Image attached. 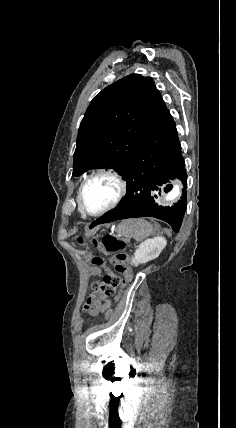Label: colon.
<instances>
[{
	"instance_id": "5ec220e1",
	"label": "colon",
	"mask_w": 236,
	"mask_h": 428,
	"mask_svg": "<svg viewBox=\"0 0 236 428\" xmlns=\"http://www.w3.org/2000/svg\"><path fill=\"white\" fill-rule=\"evenodd\" d=\"M78 241L80 244L85 242L83 238H79ZM92 245L105 254H115L111 258V264L114 266V270L106 267L104 258L99 256H93L91 258L92 264L101 266L105 269L103 277L93 282L92 288L94 293L86 305V310L91 314H95L101 309L99 297L114 295L118 287H123L131 281L132 272L126 264V256L121 253L126 246L125 239L107 234L101 240L93 239ZM118 298L119 295L116 296V299ZM106 314H110L108 309L106 310Z\"/></svg>"
}]
</instances>
